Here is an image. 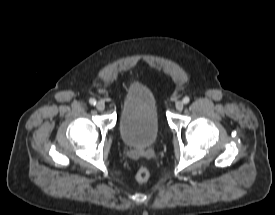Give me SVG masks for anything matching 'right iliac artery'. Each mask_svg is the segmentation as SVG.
Wrapping results in <instances>:
<instances>
[{"instance_id": "right-iliac-artery-1", "label": "right iliac artery", "mask_w": 275, "mask_h": 215, "mask_svg": "<svg viewBox=\"0 0 275 215\" xmlns=\"http://www.w3.org/2000/svg\"><path fill=\"white\" fill-rule=\"evenodd\" d=\"M89 103H90L91 105H96V100H95L94 98H91V99L89 100Z\"/></svg>"}]
</instances>
